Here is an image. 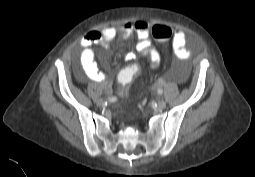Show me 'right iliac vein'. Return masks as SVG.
<instances>
[{
  "instance_id": "63e3f726",
  "label": "right iliac vein",
  "mask_w": 255,
  "mask_h": 177,
  "mask_svg": "<svg viewBox=\"0 0 255 177\" xmlns=\"http://www.w3.org/2000/svg\"><path fill=\"white\" fill-rule=\"evenodd\" d=\"M104 104V100L103 99H98L97 100V105L98 106H102Z\"/></svg>"
}]
</instances>
